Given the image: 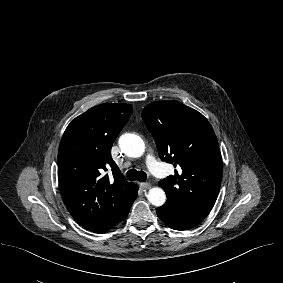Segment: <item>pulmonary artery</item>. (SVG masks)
I'll return each mask as SVG.
<instances>
[{
    "label": "pulmonary artery",
    "instance_id": "obj_1",
    "mask_svg": "<svg viewBox=\"0 0 283 283\" xmlns=\"http://www.w3.org/2000/svg\"><path fill=\"white\" fill-rule=\"evenodd\" d=\"M146 163L149 169L157 177H164L166 175L165 169L158 163V161L152 155L146 157Z\"/></svg>",
    "mask_w": 283,
    "mask_h": 283
}]
</instances>
